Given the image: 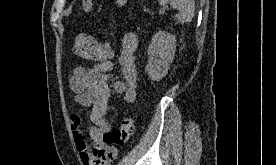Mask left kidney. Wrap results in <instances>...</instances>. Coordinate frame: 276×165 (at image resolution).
I'll use <instances>...</instances> for the list:
<instances>
[{
    "label": "left kidney",
    "mask_w": 276,
    "mask_h": 165,
    "mask_svg": "<svg viewBox=\"0 0 276 165\" xmlns=\"http://www.w3.org/2000/svg\"><path fill=\"white\" fill-rule=\"evenodd\" d=\"M175 50V35L165 31H158L154 34L148 47V63L145 68L153 81H160L167 75Z\"/></svg>",
    "instance_id": "5707ae66"
}]
</instances>
